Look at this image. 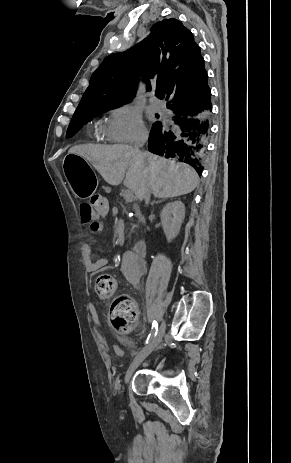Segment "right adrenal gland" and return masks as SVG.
Listing matches in <instances>:
<instances>
[{
	"mask_svg": "<svg viewBox=\"0 0 291 463\" xmlns=\"http://www.w3.org/2000/svg\"><path fill=\"white\" fill-rule=\"evenodd\" d=\"M164 199H159V200H153L152 203H151V206H154V204H157V203H160L162 202Z\"/></svg>",
	"mask_w": 291,
	"mask_h": 463,
	"instance_id": "obj_1",
	"label": "right adrenal gland"
}]
</instances>
